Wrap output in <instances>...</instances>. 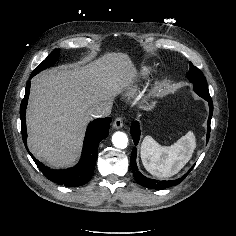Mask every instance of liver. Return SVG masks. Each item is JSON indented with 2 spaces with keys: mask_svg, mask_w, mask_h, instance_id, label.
<instances>
[{
  "mask_svg": "<svg viewBox=\"0 0 236 236\" xmlns=\"http://www.w3.org/2000/svg\"><path fill=\"white\" fill-rule=\"evenodd\" d=\"M135 76L126 54L108 53L85 66L51 69L34 77L26 116L32 154L53 167L71 165L81 149L91 107L111 105Z\"/></svg>",
  "mask_w": 236,
  "mask_h": 236,
  "instance_id": "obj_1",
  "label": "liver"
}]
</instances>
